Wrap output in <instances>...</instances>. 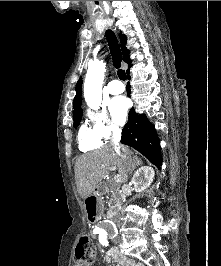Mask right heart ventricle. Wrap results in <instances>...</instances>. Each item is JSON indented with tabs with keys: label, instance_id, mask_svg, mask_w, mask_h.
Returning a JSON list of instances; mask_svg holds the SVG:
<instances>
[{
	"label": "right heart ventricle",
	"instance_id": "e07e8e85",
	"mask_svg": "<svg viewBox=\"0 0 221 266\" xmlns=\"http://www.w3.org/2000/svg\"><path fill=\"white\" fill-rule=\"evenodd\" d=\"M79 147L82 151H91L102 146L103 141L96 135L93 129L82 125L78 134Z\"/></svg>",
	"mask_w": 221,
	"mask_h": 266
}]
</instances>
